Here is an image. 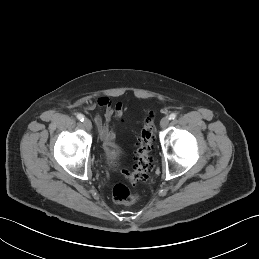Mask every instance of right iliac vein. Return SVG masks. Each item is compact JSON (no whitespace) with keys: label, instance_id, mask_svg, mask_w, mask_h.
<instances>
[{"label":"right iliac vein","instance_id":"63e3f726","mask_svg":"<svg viewBox=\"0 0 259 259\" xmlns=\"http://www.w3.org/2000/svg\"><path fill=\"white\" fill-rule=\"evenodd\" d=\"M83 124H84V126H85V128H86L87 130H91V129H92V123H91V121H90L89 119H85V120L83 121Z\"/></svg>","mask_w":259,"mask_h":259}]
</instances>
